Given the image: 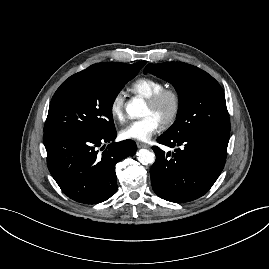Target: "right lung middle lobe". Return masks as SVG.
Here are the masks:
<instances>
[{
	"instance_id": "dd1d6c3e",
	"label": "right lung middle lobe",
	"mask_w": 269,
	"mask_h": 269,
	"mask_svg": "<svg viewBox=\"0 0 269 269\" xmlns=\"http://www.w3.org/2000/svg\"><path fill=\"white\" fill-rule=\"evenodd\" d=\"M134 70H83L65 80L55 92L44 133L79 130L95 135L115 130L112 105Z\"/></svg>"
}]
</instances>
